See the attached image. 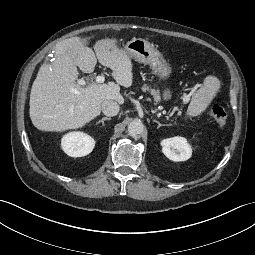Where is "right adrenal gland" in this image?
<instances>
[{
    "label": "right adrenal gland",
    "instance_id": "obj_1",
    "mask_svg": "<svg viewBox=\"0 0 255 255\" xmlns=\"http://www.w3.org/2000/svg\"><path fill=\"white\" fill-rule=\"evenodd\" d=\"M106 120H111V118L103 117L101 120H99V121L97 122V124L102 123V125L105 126V125H104V121H106Z\"/></svg>",
    "mask_w": 255,
    "mask_h": 255
}]
</instances>
